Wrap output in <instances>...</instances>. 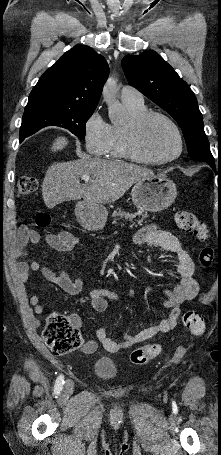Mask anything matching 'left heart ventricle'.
Segmentation results:
<instances>
[{"label": "left heart ventricle", "mask_w": 221, "mask_h": 455, "mask_svg": "<svg viewBox=\"0 0 221 455\" xmlns=\"http://www.w3.org/2000/svg\"><path fill=\"white\" fill-rule=\"evenodd\" d=\"M144 147L156 158H168L178 152V140L169 124L153 119L145 128Z\"/></svg>", "instance_id": "obj_1"}]
</instances>
